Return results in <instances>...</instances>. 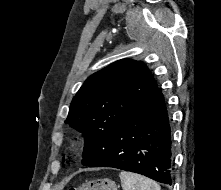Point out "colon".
Listing matches in <instances>:
<instances>
[{
    "label": "colon",
    "mask_w": 221,
    "mask_h": 190,
    "mask_svg": "<svg viewBox=\"0 0 221 190\" xmlns=\"http://www.w3.org/2000/svg\"><path fill=\"white\" fill-rule=\"evenodd\" d=\"M69 190H117L112 180L107 178H100L87 181L78 187Z\"/></svg>",
    "instance_id": "1"
}]
</instances>
